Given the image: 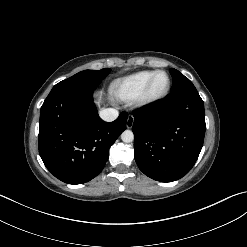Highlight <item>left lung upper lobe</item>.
Listing matches in <instances>:
<instances>
[{
	"instance_id": "1",
	"label": "left lung upper lobe",
	"mask_w": 247,
	"mask_h": 247,
	"mask_svg": "<svg viewBox=\"0 0 247 247\" xmlns=\"http://www.w3.org/2000/svg\"><path fill=\"white\" fill-rule=\"evenodd\" d=\"M173 77V89L171 94H181L188 92H197L193 83L176 69H170Z\"/></svg>"
}]
</instances>
